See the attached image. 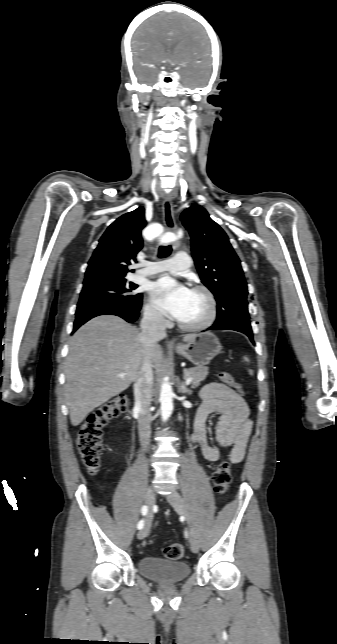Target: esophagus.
I'll use <instances>...</instances> for the list:
<instances>
[{
    "mask_svg": "<svg viewBox=\"0 0 337 644\" xmlns=\"http://www.w3.org/2000/svg\"><path fill=\"white\" fill-rule=\"evenodd\" d=\"M162 215H163V221L166 228L172 232H176L177 226L174 219L173 203H172L171 195H167L163 200ZM177 246H178V242H174L173 247L176 248Z\"/></svg>",
    "mask_w": 337,
    "mask_h": 644,
    "instance_id": "1",
    "label": "esophagus"
}]
</instances>
